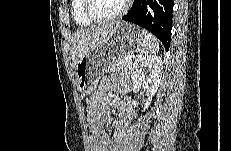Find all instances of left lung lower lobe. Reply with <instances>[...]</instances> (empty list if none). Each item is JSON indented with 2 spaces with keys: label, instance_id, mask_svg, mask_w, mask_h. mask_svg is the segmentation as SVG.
<instances>
[{
  "label": "left lung lower lobe",
  "instance_id": "obj_1",
  "mask_svg": "<svg viewBox=\"0 0 231 151\" xmlns=\"http://www.w3.org/2000/svg\"><path fill=\"white\" fill-rule=\"evenodd\" d=\"M173 0H134L123 20L154 34L168 51L171 41Z\"/></svg>",
  "mask_w": 231,
  "mask_h": 151
}]
</instances>
